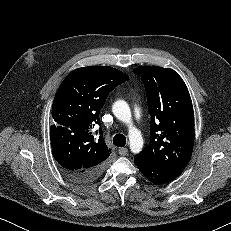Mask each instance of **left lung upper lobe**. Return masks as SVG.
<instances>
[{"label": "left lung upper lobe", "instance_id": "1", "mask_svg": "<svg viewBox=\"0 0 231 231\" xmlns=\"http://www.w3.org/2000/svg\"><path fill=\"white\" fill-rule=\"evenodd\" d=\"M133 72L144 83L151 116V142L138 155L162 169L182 172L194 144V112L188 89L169 68L140 66Z\"/></svg>", "mask_w": 231, "mask_h": 231}]
</instances>
